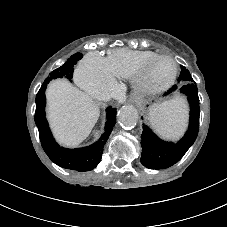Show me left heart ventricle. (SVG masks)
Here are the masks:
<instances>
[{
	"instance_id": "1",
	"label": "left heart ventricle",
	"mask_w": 227,
	"mask_h": 227,
	"mask_svg": "<svg viewBox=\"0 0 227 227\" xmlns=\"http://www.w3.org/2000/svg\"><path fill=\"white\" fill-rule=\"evenodd\" d=\"M171 66L168 61L161 60L155 65V73L159 76H166L170 73Z\"/></svg>"
}]
</instances>
